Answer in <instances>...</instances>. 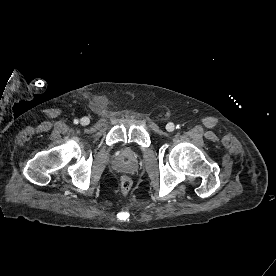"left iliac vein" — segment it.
<instances>
[{
	"mask_svg": "<svg viewBox=\"0 0 276 276\" xmlns=\"http://www.w3.org/2000/svg\"><path fill=\"white\" fill-rule=\"evenodd\" d=\"M166 129L167 131L172 132L175 129V125L173 123H168Z\"/></svg>",
	"mask_w": 276,
	"mask_h": 276,
	"instance_id": "left-iliac-vein-1",
	"label": "left iliac vein"
}]
</instances>
